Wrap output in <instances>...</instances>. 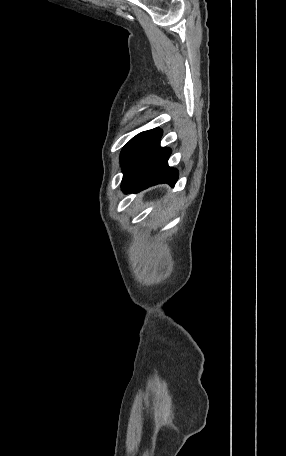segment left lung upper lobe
<instances>
[{"instance_id":"1","label":"left lung upper lobe","mask_w":286,"mask_h":456,"mask_svg":"<svg viewBox=\"0 0 286 456\" xmlns=\"http://www.w3.org/2000/svg\"><path fill=\"white\" fill-rule=\"evenodd\" d=\"M141 134V133H140ZM136 135L135 137H133L124 147H123V150L121 152V155H120V161L122 162L123 158L125 157L128 149L130 148V146L132 145V143L139 137V135Z\"/></svg>"}]
</instances>
